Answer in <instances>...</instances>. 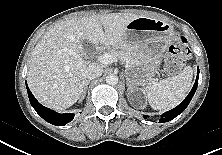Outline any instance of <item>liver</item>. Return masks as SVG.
I'll use <instances>...</instances> for the list:
<instances>
[{
	"mask_svg": "<svg viewBox=\"0 0 222 155\" xmlns=\"http://www.w3.org/2000/svg\"><path fill=\"white\" fill-rule=\"evenodd\" d=\"M140 16L127 13L91 15L60 22L32 51L28 85L44 105L63 110L82 95L90 61L82 58L83 41L118 48L127 26Z\"/></svg>",
	"mask_w": 222,
	"mask_h": 155,
	"instance_id": "obj_1",
	"label": "liver"
}]
</instances>
